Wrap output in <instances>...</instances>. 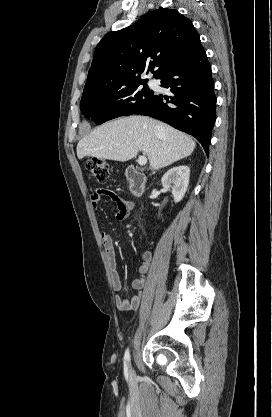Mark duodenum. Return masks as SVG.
<instances>
[{"instance_id": "obj_1", "label": "duodenum", "mask_w": 272, "mask_h": 417, "mask_svg": "<svg viewBox=\"0 0 272 417\" xmlns=\"http://www.w3.org/2000/svg\"><path fill=\"white\" fill-rule=\"evenodd\" d=\"M125 176L130 184V190L134 197L140 196L146 186L144 174L134 166H128L125 170Z\"/></svg>"}]
</instances>
